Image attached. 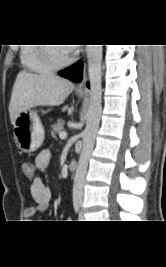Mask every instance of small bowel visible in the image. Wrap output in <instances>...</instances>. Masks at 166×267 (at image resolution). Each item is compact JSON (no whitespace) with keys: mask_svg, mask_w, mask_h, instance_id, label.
Returning a JSON list of instances; mask_svg holds the SVG:
<instances>
[{"mask_svg":"<svg viewBox=\"0 0 166 267\" xmlns=\"http://www.w3.org/2000/svg\"><path fill=\"white\" fill-rule=\"evenodd\" d=\"M51 160V152L44 149L38 153L34 160L33 173L34 178L31 185V195L36 202L35 207L26 209L25 216L32 218L36 213H42L48 210L52 198V190L45 183L40 175H36L35 171L43 172L49 165Z\"/></svg>","mask_w":166,"mask_h":267,"instance_id":"obj_1","label":"small bowel"}]
</instances>
